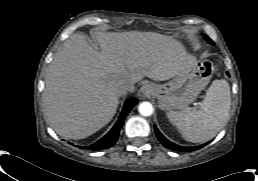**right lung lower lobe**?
I'll list each match as a JSON object with an SVG mask.
<instances>
[{
	"instance_id": "right-lung-lower-lobe-1",
	"label": "right lung lower lobe",
	"mask_w": 258,
	"mask_h": 181,
	"mask_svg": "<svg viewBox=\"0 0 258 181\" xmlns=\"http://www.w3.org/2000/svg\"><path fill=\"white\" fill-rule=\"evenodd\" d=\"M137 103H138V100L136 98L128 99L124 104L123 110L119 116L118 121L111 129V131L107 135H105L102 139L94 143L93 145L89 147H84V148L90 149V150H102L113 146L118 140L119 131L124 123L125 117L128 115L129 111L133 108V106L136 105Z\"/></svg>"
}]
</instances>
